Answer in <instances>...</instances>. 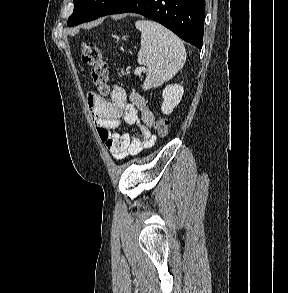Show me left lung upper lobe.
I'll list each match as a JSON object with an SVG mask.
<instances>
[{"mask_svg": "<svg viewBox=\"0 0 288 293\" xmlns=\"http://www.w3.org/2000/svg\"><path fill=\"white\" fill-rule=\"evenodd\" d=\"M74 10L67 25L74 26L101 16L116 0H73Z\"/></svg>", "mask_w": 288, "mask_h": 293, "instance_id": "left-lung-upper-lobe-1", "label": "left lung upper lobe"}]
</instances>
